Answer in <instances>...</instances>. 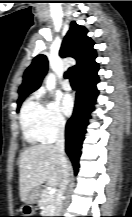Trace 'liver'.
Segmentation results:
<instances>
[{"mask_svg": "<svg viewBox=\"0 0 132 217\" xmlns=\"http://www.w3.org/2000/svg\"><path fill=\"white\" fill-rule=\"evenodd\" d=\"M63 180L64 175L60 157L55 145H35L21 153L19 158L21 201H25L27 194L44 182H47L51 187H58Z\"/></svg>", "mask_w": 132, "mask_h": 217, "instance_id": "liver-1", "label": "liver"}]
</instances>
